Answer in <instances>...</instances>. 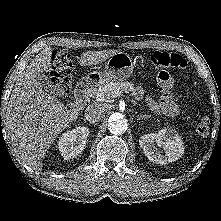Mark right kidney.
<instances>
[{
  "instance_id": "obj_1",
  "label": "right kidney",
  "mask_w": 221,
  "mask_h": 221,
  "mask_svg": "<svg viewBox=\"0 0 221 221\" xmlns=\"http://www.w3.org/2000/svg\"><path fill=\"white\" fill-rule=\"evenodd\" d=\"M89 135L87 127H76L62 134L58 141V149L64 159H71L79 155L86 146Z\"/></svg>"
}]
</instances>
